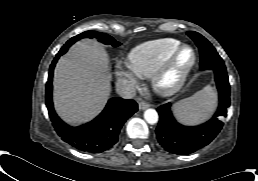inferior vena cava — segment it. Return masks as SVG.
Returning a JSON list of instances; mask_svg holds the SVG:
<instances>
[{
  "instance_id": "obj_1",
  "label": "inferior vena cava",
  "mask_w": 258,
  "mask_h": 181,
  "mask_svg": "<svg viewBox=\"0 0 258 181\" xmlns=\"http://www.w3.org/2000/svg\"><path fill=\"white\" fill-rule=\"evenodd\" d=\"M116 90L120 97L131 99L136 95V89L128 80L120 79L116 83Z\"/></svg>"
}]
</instances>
